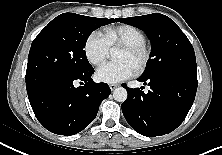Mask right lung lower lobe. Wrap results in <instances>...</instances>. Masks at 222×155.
I'll list each match as a JSON object with an SVG mask.
<instances>
[{"instance_id": "98d812e1", "label": "right lung lower lobe", "mask_w": 222, "mask_h": 155, "mask_svg": "<svg viewBox=\"0 0 222 155\" xmlns=\"http://www.w3.org/2000/svg\"><path fill=\"white\" fill-rule=\"evenodd\" d=\"M93 73L92 67L78 76L50 80L27 92L36 118L47 130L70 136L94 120L111 90L105 83L93 82ZM77 82L83 86L76 87Z\"/></svg>"}]
</instances>
